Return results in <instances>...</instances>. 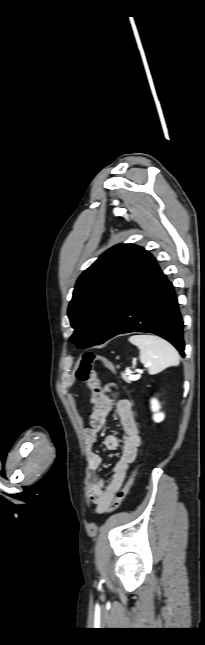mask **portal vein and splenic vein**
<instances>
[{"instance_id":"1","label":"portal vein and splenic vein","mask_w":205,"mask_h":645,"mask_svg":"<svg viewBox=\"0 0 205 645\" xmlns=\"http://www.w3.org/2000/svg\"><path fill=\"white\" fill-rule=\"evenodd\" d=\"M145 367H147V365ZM130 377L132 380H136L138 378V376H134V375H130Z\"/></svg>"}]
</instances>
